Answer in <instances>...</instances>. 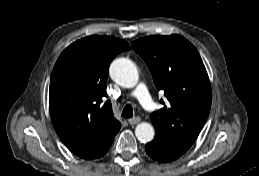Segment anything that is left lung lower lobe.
<instances>
[{"mask_svg": "<svg viewBox=\"0 0 259 176\" xmlns=\"http://www.w3.org/2000/svg\"><path fill=\"white\" fill-rule=\"evenodd\" d=\"M147 154L159 162H170L179 158L183 153H175L167 150L164 146L152 141L146 145Z\"/></svg>", "mask_w": 259, "mask_h": 176, "instance_id": "left-lung-lower-lobe-1", "label": "left lung lower lobe"}]
</instances>
